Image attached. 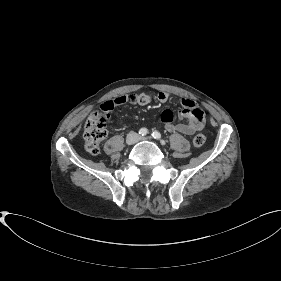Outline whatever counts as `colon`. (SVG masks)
Returning a JSON list of instances; mask_svg holds the SVG:
<instances>
[{
    "mask_svg": "<svg viewBox=\"0 0 281 281\" xmlns=\"http://www.w3.org/2000/svg\"><path fill=\"white\" fill-rule=\"evenodd\" d=\"M110 115L106 112L95 111L87 119L84 127L85 148L88 153L97 155L100 151V143L107 135ZM205 143L203 134H196L193 144L201 147Z\"/></svg>",
    "mask_w": 281,
    "mask_h": 281,
    "instance_id": "5ec220e1",
    "label": "colon"
}]
</instances>
